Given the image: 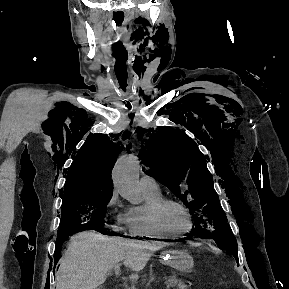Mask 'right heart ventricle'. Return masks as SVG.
Segmentation results:
<instances>
[{
	"instance_id": "e07e8e85",
	"label": "right heart ventricle",
	"mask_w": 289,
	"mask_h": 289,
	"mask_svg": "<svg viewBox=\"0 0 289 289\" xmlns=\"http://www.w3.org/2000/svg\"><path fill=\"white\" fill-rule=\"evenodd\" d=\"M145 202L141 206H134L127 210V230L131 236L148 238H165L155 231L147 216V206L161 197L159 192L152 193L143 191Z\"/></svg>"
}]
</instances>
